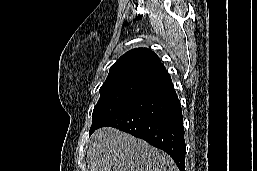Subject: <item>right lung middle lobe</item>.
<instances>
[{
  "instance_id": "1",
  "label": "right lung middle lobe",
  "mask_w": 257,
  "mask_h": 171,
  "mask_svg": "<svg viewBox=\"0 0 257 171\" xmlns=\"http://www.w3.org/2000/svg\"><path fill=\"white\" fill-rule=\"evenodd\" d=\"M145 90L146 86L100 88V99L93 110L89 134L91 135L107 118Z\"/></svg>"
}]
</instances>
